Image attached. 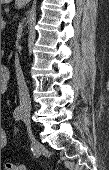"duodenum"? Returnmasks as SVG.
Returning <instances> with one entry per match:
<instances>
[{
  "mask_svg": "<svg viewBox=\"0 0 109 170\" xmlns=\"http://www.w3.org/2000/svg\"><path fill=\"white\" fill-rule=\"evenodd\" d=\"M9 69L3 65L1 67V91L5 92L8 86Z\"/></svg>",
  "mask_w": 109,
  "mask_h": 170,
  "instance_id": "obj_1",
  "label": "duodenum"
}]
</instances>
